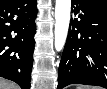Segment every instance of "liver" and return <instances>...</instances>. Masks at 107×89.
Masks as SVG:
<instances>
[{
    "label": "liver",
    "mask_w": 107,
    "mask_h": 89,
    "mask_svg": "<svg viewBox=\"0 0 107 89\" xmlns=\"http://www.w3.org/2000/svg\"><path fill=\"white\" fill-rule=\"evenodd\" d=\"M0 89H19L18 86L12 82L1 80Z\"/></svg>",
    "instance_id": "1"
}]
</instances>
